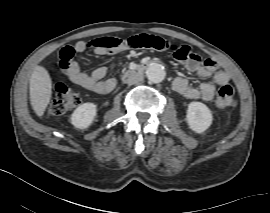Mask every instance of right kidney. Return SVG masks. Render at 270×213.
<instances>
[{
  "mask_svg": "<svg viewBox=\"0 0 270 213\" xmlns=\"http://www.w3.org/2000/svg\"><path fill=\"white\" fill-rule=\"evenodd\" d=\"M97 113L94 103H84L78 106L71 115V123L78 129H86L91 125Z\"/></svg>",
  "mask_w": 270,
  "mask_h": 213,
  "instance_id": "right-kidney-1",
  "label": "right kidney"
}]
</instances>
